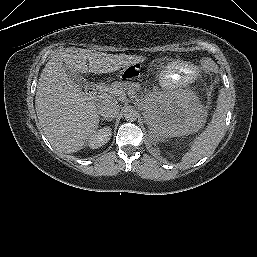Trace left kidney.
Segmentation results:
<instances>
[{
    "mask_svg": "<svg viewBox=\"0 0 257 257\" xmlns=\"http://www.w3.org/2000/svg\"><path fill=\"white\" fill-rule=\"evenodd\" d=\"M144 118L157 137H179L198 131L205 121L198 97L191 92L158 94L146 104Z\"/></svg>",
    "mask_w": 257,
    "mask_h": 257,
    "instance_id": "1",
    "label": "left kidney"
}]
</instances>
